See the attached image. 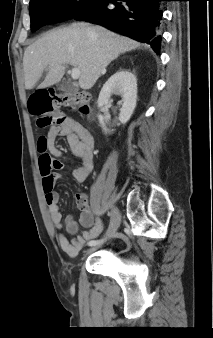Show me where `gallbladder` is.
I'll return each instance as SVG.
<instances>
[{
    "instance_id": "bac80fb5",
    "label": "gallbladder",
    "mask_w": 213,
    "mask_h": 338,
    "mask_svg": "<svg viewBox=\"0 0 213 338\" xmlns=\"http://www.w3.org/2000/svg\"><path fill=\"white\" fill-rule=\"evenodd\" d=\"M59 88L60 90L65 91V92H73L76 90L75 86H73L72 84L66 83V82H63Z\"/></svg>"
}]
</instances>
